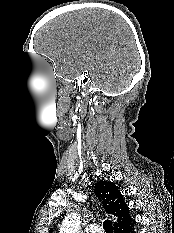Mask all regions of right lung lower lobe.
<instances>
[{"mask_svg":"<svg viewBox=\"0 0 174 233\" xmlns=\"http://www.w3.org/2000/svg\"><path fill=\"white\" fill-rule=\"evenodd\" d=\"M134 226H135V223L132 224L130 227L124 229V230L121 231L120 233H136V232H135Z\"/></svg>","mask_w":174,"mask_h":233,"instance_id":"obj_1","label":"right lung lower lobe"}]
</instances>
